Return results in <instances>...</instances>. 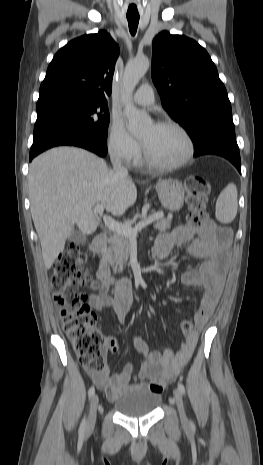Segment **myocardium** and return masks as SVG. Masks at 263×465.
I'll use <instances>...</instances> for the list:
<instances>
[{"mask_svg": "<svg viewBox=\"0 0 263 465\" xmlns=\"http://www.w3.org/2000/svg\"><path fill=\"white\" fill-rule=\"evenodd\" d=\"M155 125L159 127H170L179 131L187 143V150L182 159L173 163H161L151 156L145 145L142 143L145 162L152 168L163 171L175 170L188 164L190 160L193 158L195 152L194 140L191 134L188 132V130L183 125L173 120L159 121Z\"/></svg>", "mask_w": 263, "mask_h": 465, "instance_id": "f54148a6", "label": "myocardium"}]
</instances>
